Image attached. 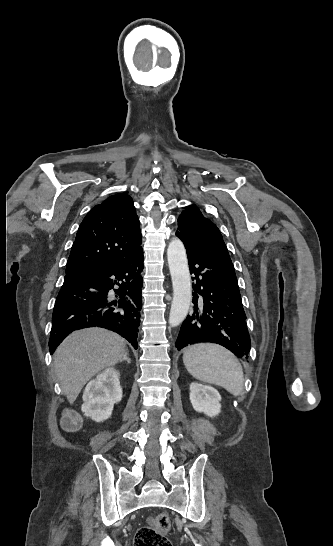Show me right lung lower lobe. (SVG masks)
Instances as JSON below:
<instances>
[{
    "label": "right lung lower lobe",
    "instance_id": "obj_1",
    "mask_svg": "<svg viewBox=\"0 0 333 546\" xmlns=\"http://www.w3.org/2000/svg\"><path fill=\"white\" fill-rule=\"evenodd\" d=\"M142 270L141 249L127 261L66 274L53 310L50 353L72 331L95 326L120 334L137 349Z\"/></svg>",
    "mask_w": 333,
    "mask_h": 546
}]
</instances>
